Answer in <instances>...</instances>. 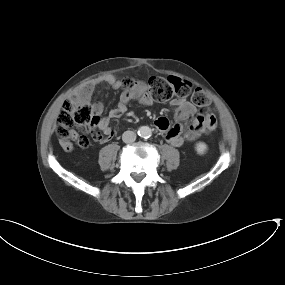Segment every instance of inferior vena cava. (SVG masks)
<instances>
[{"instance_id": "1", "label": "inferior vena cava", "mask_w": 285, "mask_h": 285, "mask_svg": "<svg viewBox=\"0 0 285 285\" xmlns=\"http://www.w3.org/2000/svg\"><path fill=\"white\" fill-rule=\"evenodd\" d=\"M122 140L125 143H132L136 140V133L133 131H125L122 135Z\"/></svg>"}]
</instances>
